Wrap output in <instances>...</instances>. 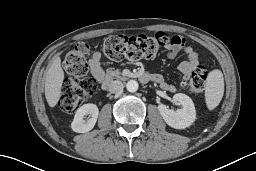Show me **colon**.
<instances>
[{
	"label": "colon",
	"mask_w": 256,
	"mask_h": 171,
	"mask_svg": "<svg viewBox=\"0 0 256 171\" xmlns=\"http://www.w3.org/2000/svg\"><path fill=\"white\" fill-rule=\"evenodd\" d=\"M169 42L168 35L160 32L154 35H113L104 41L103 52L109 59L116 61L153 59ZM88 53L89 46L85 42H77L63 61V67L68 74L63 82L59 99V108L63 112L75 111L96 90L94 80L86 77ZM206 78L205 67L198 65L185 85L193 92L202 93Z\"/></svg>",
	"instance_id": "colon-1"
}]
</instances>
